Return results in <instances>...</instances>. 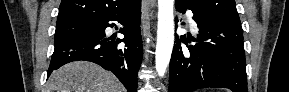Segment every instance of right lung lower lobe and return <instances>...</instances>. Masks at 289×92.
Here are the masks:
<instances>
[{
  "mask_svg": "<svg viewBox=\"0 0 289 92\" xmlns=\"http://www.w3.org/2000/svg\"><path fill=\"white\" fill-rule=\"evenodd\" d=\"M140 9L141 0H137L127 10L98 21L94 31L55 44L48 76L66 63L91 61L112 71L128 92H136L137 73L143 56ZM109 21H118L124 26L120 30L125 36L124 39L114 41L106 37L105 29L114 26L109 24ZM121 42L125 43V47H118Z\"/></svg>",
  "mask_w": 289,
  "mask_h": 92,
  "instance_id": "1",
  "label": "right lung lower lobe"
}]
</instances>
